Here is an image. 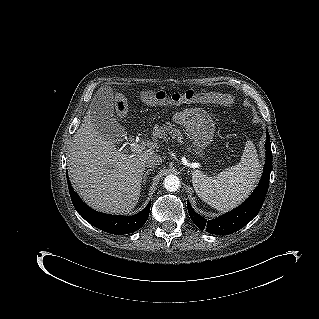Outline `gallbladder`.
Segmentation results:
<instances>
[{
  "label": "gallbladder",
  "instance_id": "gallbladder-1",
  "mask_svg": "<svg viewBox=\"0 0 319 319\" xmlns=\"http://www.w3.org/2000/svg\"><path fill=\"white\" fill-rule=\"evenodd\" d=\"M113 93L109 87L97 93L90 105L91 116L96 130L104 136L124 135V128L114 117Z\"/></svg>",
  "mask_w": 319,
  "mask_h": 319
}]
</instances>
